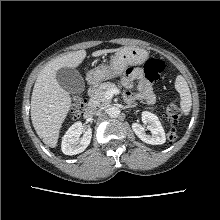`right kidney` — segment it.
<instances>
[{"instance_id": "obj_1", "label": "right kidney", "mask_w": 220, "mask_h": 220, "mask_svg": "<svg viewBox=\"0 0 220 220\" xmlns=\"http://www.w3.org/2000/svg\"><path fill=\"white\" fill-rule=\"evenodd\" d=\"M83 129L81 122L74 123L65 133L62 139L61 149L65 155H76L83 152L90 144L92 138L91 128ZM83 137L78 141L79 136ZM79 143V144H78Z\"/></svg>"}]
</instances>
